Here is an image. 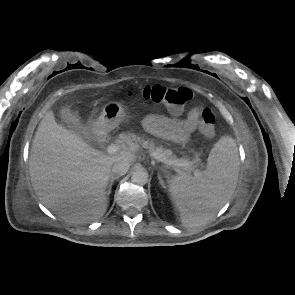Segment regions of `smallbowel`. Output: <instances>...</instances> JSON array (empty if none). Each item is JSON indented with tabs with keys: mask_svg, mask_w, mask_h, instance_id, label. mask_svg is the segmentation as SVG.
Returning <instances> with one entry per match:
<instances>
[{
	"mask_svg": "<svg viewBox=\"0 0 295 295\" xmlns=\"http://www.w3.org/2000/svg\"><path fill=\"white\" fill-rule=\"evenodd\" d=\"M201 112L199 107H195L189 111L184 119L168 118L162 115H150L145 118L144 125L149 132L161 138L176 143H183L195 130Z\"/></svg>",
	"mask_w": 295,
	"mask_h": 295,
	"instance_id": "c3829d8e",
	"label": "small bowel"
}]
</instances>
